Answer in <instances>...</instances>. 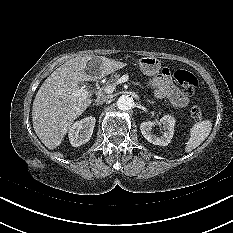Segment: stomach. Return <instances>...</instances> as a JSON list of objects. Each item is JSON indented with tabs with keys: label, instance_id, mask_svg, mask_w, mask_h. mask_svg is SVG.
<instances>
[{
	"label": "stomach",
	"instance_id": "stomach-1",
	"mask_svg": "<svg viewBox=\"0 0 233 233\" xmlns=\"http://www.w3.org/2000/svg\"><path fill=\"white\" fill-rule=\"evenodd\" d=\"M139 66L141 71L147 76H153L159 73L161 69V62L153 56L142 57L139 59Z\"/></svg>",
	"mask_w": 233,
	"mask_h": 233
}]
</instances>
